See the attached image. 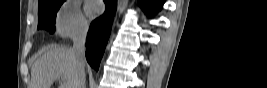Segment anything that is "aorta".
Returning <instances> with one entry per match:
<instances>
[{
    "instance_id": "762f6f07",
    "label": "aorta",
    "mask_w": 267,
    "mask_h": 88,
    "mask_svg": "<svg viewBox=\"0 0 267 88\" xmlns=\"http://www.w3.org/2000/svg\"><path fill=\"white\" fill-rule=\"evenodd\" d=\"M128 4V0H119L117 3V11L119 12V15L124 12Z\"/></svg>"
}]
</instances>
